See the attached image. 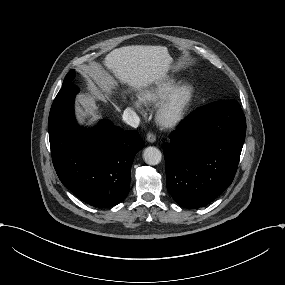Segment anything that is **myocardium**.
<instances>
[{"label": "myocardium", "instance_id": "1", "mask_svg": "<svg viewBox=\"0 0 285 285\" xmlns=\"http://www.w3.org/2000/svg\"><path fill=\"white\" fill-rule=\"evenodd\" d=\"M181 95L185 99L178 110L175 104ZM198 97V90L194 83L183 82L174 87L160 102L156 113V123L164 129H175L182 125L190 115Z\"/></svg>", "mask_w": 285, "mask_h": 285}]
</instances>
